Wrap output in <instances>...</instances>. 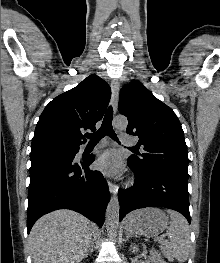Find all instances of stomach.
I'll return each instance as SVG.
<instances>
[{"label":"stomach","mask_w":220,"mask_h":263,"mask_svg":"<svg viewBox=\"0 0 220 263\" xmlns=\"http://www.w3.org/2000/svg\"><path fill=\"white\" fill-rule=\"evenodd\" d=\"M168 226V217L158 208H145L130 213L125 220V229L134 235L152 237Z\"/></svg>","instance_id":"1"}]
</instances>
